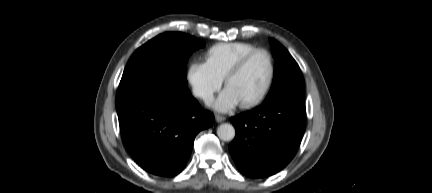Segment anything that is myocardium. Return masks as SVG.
Listing matches in <instances>:
<instances>
[{
	"instance_id": "myocardium-1",
	"label": "myocardium",
	"mask_w": 432,
	"mask_h": 193,
	"mask_svg": "<svg viewBox=\"0 0 432 193\" xmlns=\"http://www.w3.org/2000/svg\"><path fill=\"white\" fill-rule=\"evenodd\" d=\"M259 53H263L268 57L269 67H270L269 77H268V80H267V83H266L264 89L261 91V93L258 96H256L254 99H252L250 101L243 102L240 104V106L244 109L253 108V107L259 105L260 103H262L266 99L269 92L271 91V88H272L273 83H274L275 75H276L275 59H274L272 52L265 47L255 48L254 50L247 53L244 57H242L229 70V72L227 73V75L225 77V87H228L230 81L248 64V62L256 54H259Z\"/></svg>"
}]
</instances>
